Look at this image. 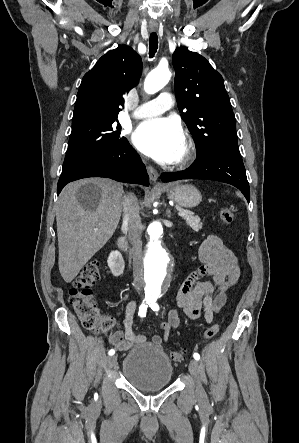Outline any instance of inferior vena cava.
<instances>
[{"label":"inferior vena cava","mask_w":299,"mask_h":443,"mask_svg":"<svg viewBox=\"0 0 299 443\" xmlns=\"http://www.w3.org/2000/svg\"><path fill=\"white\" fill-rule=\"evenodd\" d=\"M139 204L134 194L124 196L123 220L128 225V239L132 245L133 278L136 287H142V240H141V218L139 215Z\"/></svg>","instance_id":"1"}]
</instances>
